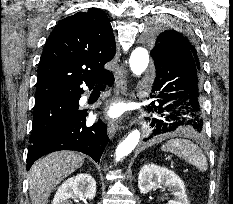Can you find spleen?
<instances>
[{"label": "spleen", "mask_w": 233, "mask_h": 204, "mask_svg": "<svg viewBox=\"0 0 233 204\" xmlns=\"http://www.w3.org/2000/svg\"><path fill=\"white\" fill-rule=\"evenodd\" d=\"M162 151L171 152L195 166L199 171L207 170V161L202 150L187 139H171L162 146Z\"/></svg>", "instance_id": "3e777b00"}]
</instances>
